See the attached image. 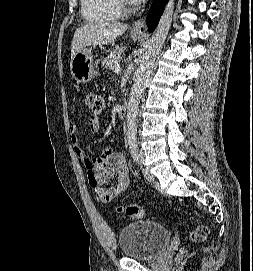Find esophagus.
Here are the masks:
<instances>
[{"label": "esophagus", "instance_id": "1", "mask_svg": "<svg viewBox=\"0 0 253 271\" xmlns=\"http://www.w3.org/2000/svg\"><path fill=\"white\" fill-rule=\"evenodd\" d=\"M147 30L145 16L137 19L132 25V31L139 34H145Z\"/></svg>", "mask_w": 253, "mask_h": 271}]
</instances>
